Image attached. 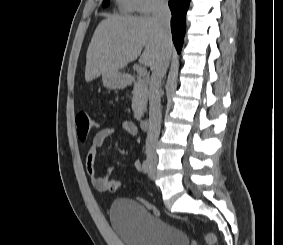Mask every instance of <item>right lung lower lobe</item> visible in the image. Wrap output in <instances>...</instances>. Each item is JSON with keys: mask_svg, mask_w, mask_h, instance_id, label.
I'll return each mask as SVG.
<instances>
[{"mask_svg": "<svg viewBox=\"0 0 283 245\" xmlns=\"http://www.w3.org/2000/svg\"><path fill=\"white\" fill-rule=\"evenodd\" d=\"M189 2L190 0H170L168 3L172 13L171 30L173 42L178 53H180L183 45L185 19Z\"/></svg>", "mask_w": 283, "mask_h": 245, "instance_id": "obj_1", "label": "right lung lower lobe"}]
</instances>
